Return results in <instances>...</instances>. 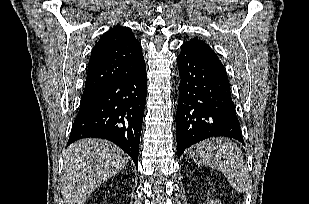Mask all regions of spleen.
Listing matches in <instances>:
<instances>
[{
    "label": "spleen",
    "instance_id": "spleen-1",
    "mask_svg": "<svg viewBox=\"0 0 309 204\" xmlns=\"http://www.w3.org/2000/svg\"><path fill=\"white\" fill-rule=\"evenodd\" d=\"M189 157L198 165L221 172L238 191L248 187V169L240 148L224 138L202 141L189 149Z\"/></svg>",
    "mask_w": 309,
    "mask_h": 204
}]
</instances>
